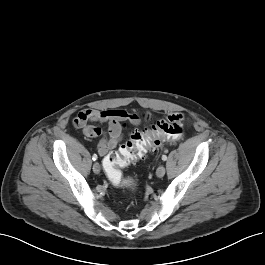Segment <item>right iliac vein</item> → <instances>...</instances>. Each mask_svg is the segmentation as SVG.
<instances>
[{"mask_svg": "<svg viewBox=\"0 0 265 265\" xmlns=\"http://www.w3.org/2000/svg\"><path fill=\"white\" fill-rule=\"evenodd\" d=\"M100 169H101V167H100L99 163L95 162L93 164V171H94V173H97L98 174L100 172Z\"/></svg>", "mask_w": 265, "mask_h": 265, "instance_id": "63e3f726", "label": "right iliac vein"}]
</instances>
